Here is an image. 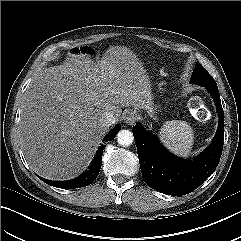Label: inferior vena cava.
Returning a JSON list of instances; mask_svg holds the SVG:
<instances>
[{"label": "inferior vena cava", "mask_w": 241, "mask_h": 241, "mask_svg": "<svg viewBox=\"0 0 241 241\" xmlns=\"http://www.w3.org/2000/svg\"><path fill=\"white\" fill-rule=\"evenodd\" d=\"M116 122V118L113 113L106 112L100 119V124L104 127H109Z\"/></svg>", "instance_id": "obj_1"}]
</instances>
